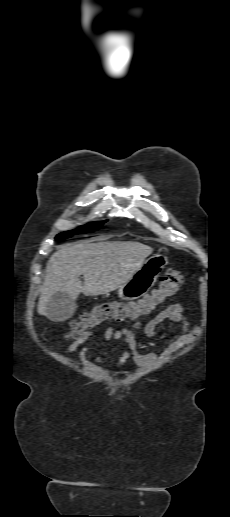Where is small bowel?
Returning <instances> with one entry per match:
<instances>
[{"label": "small bowel", "mask_w": 230, "mask_h": 517, "mask_svg": "<svg viewBox=\"0 0 230 517\" xmlns=\"http://www.w3.org/2000/svg\"><path fill=\"white\" fill-rule=\"evenodd\" d=\"M164 321H168L173 324H181L182 327L180 331H178L165 342L163 351L160 354L161 356L168 355L176 351L181 346L191 341L196 335V329L190 326L189 320L185 315L184 307L180 304H172L159 310L155 316L145 324L136 322L130 328H122L118 330L108 328L104 334V340H123L125 342L127 348L121 358L118 360L119 364L131 358L137 365L143 366L152 362L160 355L156 353H142L139 351L137 348L135 331L139 328H142L147 337H155L158 334V326ZM91 336V334H88L72 342L68 346L67 352L72 355L80 348L79 357L91 366H98L104 360V357L97 356L91 359L88 358L87 354L89 352V348L84 346V343Z\"/></svg>", "instance_id": "obj_1"}]
</instances>
